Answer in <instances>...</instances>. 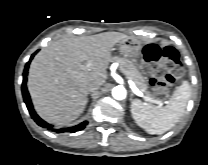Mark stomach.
Instances as JSON below:
<instances>
[{
	"label": "stomach",
	"mask_w": 208,
	"mask_h": 165,
	"mask_svg": "<svg viewBox=\"0 0 208 165\" xmlns=\"http://www.w3.org/2000/svg\"><path fill=\"white\" fill-rule=\"evenodd\" d=\"M122 55L132 61L136 60L140 55L141 46L133 40H123L119 44Z\"/></svg>",
	"instance_id": "0dacf381"
}]
</instances>
